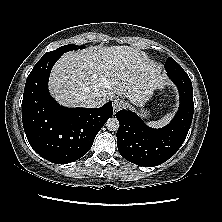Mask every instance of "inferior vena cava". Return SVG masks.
I'll use <instances>...</instances> for the list:
<instances>
[{
    "label": "inferior vena cava",
    "mask_w": 222,
    "mask_h": 222,
    "mask_svg": "<svg viewBox=\"0 0 222 222\" xmlns=\"http://www.w3.org/2000/svg\"><path fill=\"white\" fill-rule=\"evenodd\" d=\"M82 102L86 107L97 108L102 105V100L96 97L95 95H85L82 98Z\"/></svg>",
    "instance_id": "inferior-vena-cava-1"
}]
</instances>
